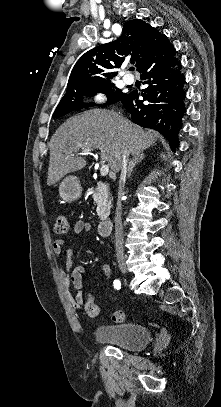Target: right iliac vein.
Returning <instances> with one entry per match:
<instances>
[{
	"label": "right iliac vein",
	"instance_id": "1",
	"mask_svg": "<svg viewBox=\"0 0 221 407\" xmlns=\"http://www.w3.org/2000/svg\"><path fill=\"white\" fill-rule=\"evenodd\" d=\"M119 269L122 273L126 274L127 273V269L126 266L124 264H120L119 265Z\"/></svg>",
	"mask_w": 221,
	"mask_h": 407
}]
</instances>
